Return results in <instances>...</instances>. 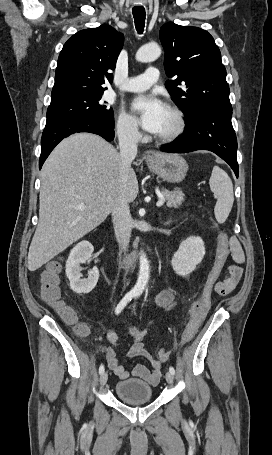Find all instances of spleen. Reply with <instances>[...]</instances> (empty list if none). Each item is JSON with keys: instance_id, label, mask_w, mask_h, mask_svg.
Listing matches in <instances>:
<instances>
[{"instance_id": "3e777b00", "label": "spleen", "mask_w": 272, "mask_h": 455, "mask_svg": "<svg viewBox=\"0 0 272 455\" xmlns=\"http://www.w3.org/2000/svg\"><path fill=\"white\" fill-rule=\"evenodd\" d=\"M211 191L217 198L214 208L218 223L226 221L234 202L233 184L228 174L218 166H214L209 180Z\"/></svg>"}]
</instances>
